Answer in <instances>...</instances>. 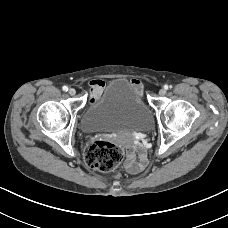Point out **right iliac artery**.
Instances as JSON below:
<instances>
[{"instance_id": "obj_1", "label": "right iliac artery", "mask_w": 228, "mask_h": 228, "mask_svg": "<svg viewBox=\"0 0 228 228\" xmlns=\"http://www.w3.org/2000/svg\"><path fill=\"white\" fill-rule=\"evenodd\" d=\"M62 89H63V91H65V92L68 91V87H67V86H63Z\"/></svg>"}]
</instances>
